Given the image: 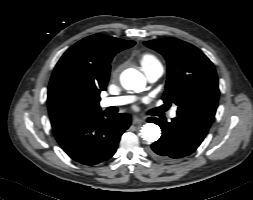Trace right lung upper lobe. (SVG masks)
<instances>
[{"mask_svg": "<svg viewBox=\"0 0 253 200\" xmlns=\"http://www.w3.org/2000/svg\"><path fill=\"white\" fill-rule=\"evenodd\" d=\"M134 41L103 34L88 36L70 47L58 61L48 87L52 127L100 112V92L106 89L113 56Z\"/></svg>", "mask_w": 253, "mask_h": 200, "instance_id": "cb5924a9", "label": "right lung upper lobe"}]
</instances>
